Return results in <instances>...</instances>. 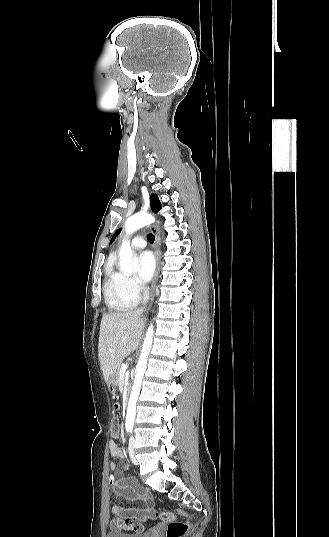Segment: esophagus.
I'll use <instances>...</instances> for the list:
<instances>
[{
	"label": "esophagus",
	"instance_id": "34e87169",
	"mask_svg": "<svg viewBox=\"0 0 329 537\" xmlns=\"http://www.w3.org/2000/svg\"><path fill=\"white\" fill-rule=\"evenodd\" d=\"M150 229L155 236L154 253H155V259H156V270H155V274H154L152 284H151L150 299H149V301H152L154 297L155 285H156V281H157V277L159 273V234L154 224L150 226Z\"/></svg>",
	"mask_w": 329,
	"mask_h": 537
}]
</instances>
